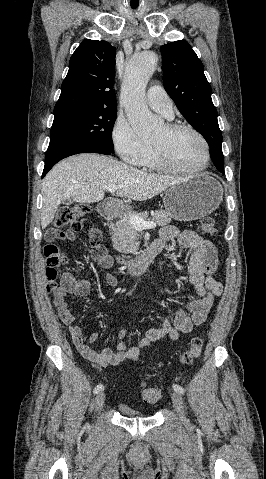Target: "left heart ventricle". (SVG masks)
<instances>
[{"label":"left heart ventricle","mask_w":266,"mask_h":479,"mask_svg":"<svg viewBox=\"0 0 266 479\" xmlns=\"http://www.w3.org/2000/svg\"><path fill=\"white\" fill-rule=\"evenodd\" d=\"M151 142L161 151L163 157L175 166L195 168L203 162V147L189 131H170L164 126L153 134Z\"/></svg>","instance_id":"obj_1"}]
</instances>
